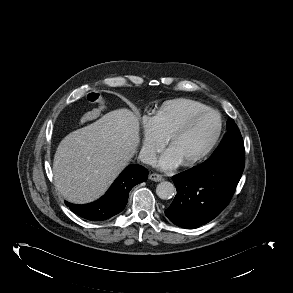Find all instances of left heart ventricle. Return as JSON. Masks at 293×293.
<instances>
[{
  "instance_id": "b2bd125f",
  "label": "left heart ventricle",
  "mask_w": 293,
  "mask_h": 293,
  "mask_svg": "<svg viewBox=\"0 0 293 293\" xmlns=\"http://www.w3.org/2000/svg\"><path fill=\"white\" fill-rule=\"evenodd\" d=\"M218 126L217 116L207 114L196 120L181 136L176 138L169 148L181 162L197 156L211 141Z\"/></svg>"
}]
</instances>
